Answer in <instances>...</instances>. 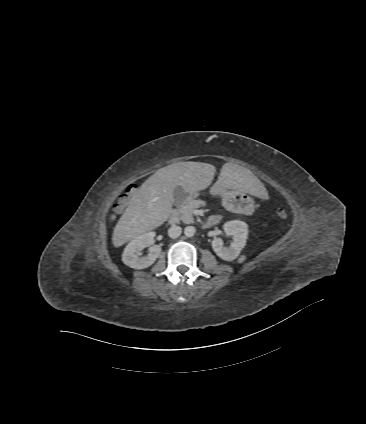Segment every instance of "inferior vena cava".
Returning a JSON list of instances; mask_svg holds the SVG:
<instances>
[{
  "instance_id": "602c4592",
  "label": "inferior vena cava",
  "mask_w": 366,
  "mask_h": 424,
  "mask_svg": "<svg viewBox=\"0 0 366 424\" xmlns=\"http://www.w3.org/2000/svg\"><path fill=\"white\" fill-rule=\"evenodd\" d=\"M182 229L180 226L173 225L168 229V235L171 238H177L181 235Z\"/></svg>"
}]
</instances>
